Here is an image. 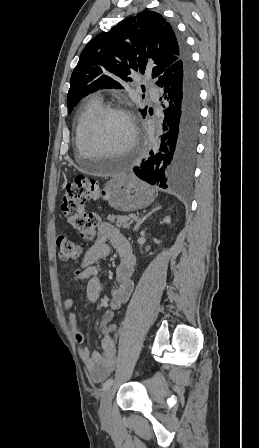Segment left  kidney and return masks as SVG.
<instances>
[{
	"label": "left kidney",
	"mask_w": 259,
	"mask_h": 448,
	"mask_svg": "<svg viewBox=\"0 0 259 448\" xmlns=\"http://www.w3.org/2000/svg\"><path fill=\"white\" fill-rule=\"evenodd\" d=\"M163 222H164V224H170L171 218H169V216H167V218H164Z\"/></svg>",
	"instance_id": "obj_1"
}]
</instances>
